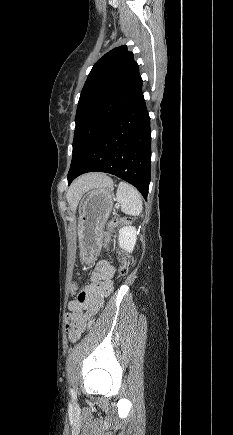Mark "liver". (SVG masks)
<instances>
[{"label":"liver","mask_w":233,"mask_h":435,"mask_svg":"<svg viewBox=\"0 0 233 435\" xmlns=\"http://www.w3.org/2000/svg\"><path fill=\"white\" fill-rule=\"evenodd\" d=\"M107 176L101 173L86 174L76 179L67 191V201L72 209L77 206L81 196L88 190L105 183Z\"/></svg>","instance_id":"obj_1"}]
</instances>
